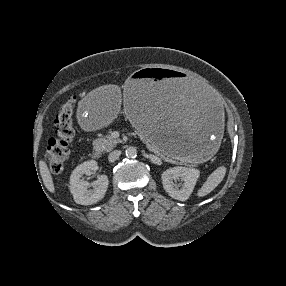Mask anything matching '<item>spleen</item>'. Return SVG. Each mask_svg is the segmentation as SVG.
Masks as SVG:
<instances>
[{"label": "spleen", "instance_id": "3e777b00", "mask_svg": "<svg viewBox=\"0 0 286 286\" xmlns=\"http://www.w3.org/2000/svg\"><path fill=\"white\" fill-rule=\"evenodd\" d=\"M226 174V168L224 166H220L215 169L204 182L202 187L198 190L197 196L204 197L211 193L224 179Z\"/></svg>", "mask_w": 286, "mask_h": 286}]
</instances>
